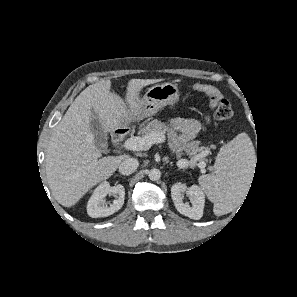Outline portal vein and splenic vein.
<instances>
[{"label":"portal vein and splenic vein","instance_id":"obj_1","mask_svg":"<svg viewBox=\"0 0 297 297\" xmlns=\"http://www.w3.org/2000/svg\"><path fill=\"white\" fill-rule=\"evenodd\" d=\"M166 138L161 133H151L144 137H131L127 139L123 147L127 150L133 151H146L148 150L153 144L165 142ZM178 164L188 165L189 162L181 159L178 161ZM202 168L205 167L204 163H201Z\"/></svg>","mask_w":297,"mask_h":297}]
</instances>
